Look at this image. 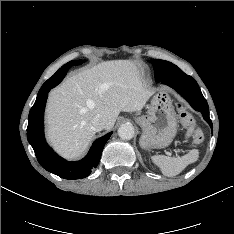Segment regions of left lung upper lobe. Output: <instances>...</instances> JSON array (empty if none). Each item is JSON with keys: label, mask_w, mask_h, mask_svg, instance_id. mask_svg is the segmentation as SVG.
Masks as SVG:
<instances>
[{"label": "left lung upper lobe", "mask_w": 234, "mask_h": 234, "mask_svg": "<svg viewBox=\"0 0 234 234\" xmlns=\"http://www.w3.org/2000/svg\"><path fill=\"white\" fill-rule=\"evenodd\" d=\"M152 65L155 71V80L157 82L161 81L164 78L180 75L184 73L176 65L165 61V60H153Z\"/></svg>", "instance_id": "5c2ea615"}]
</instances>
